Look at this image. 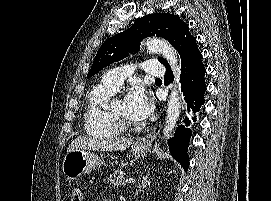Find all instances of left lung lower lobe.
Segmentation results:
<instances>
[{
  "instance_id": "0a47b994",
  "label": "left lung lower lobe",
  "mask_w": 271,
  "mask_h": 201,
  "mask_svg": "<svg viewBox=\"0 0 271 201\" xmlns=\"http://www.w3.org/2000/svg\"><path fill=\"white\" fill-rule=\"evenodd\" d=\"M178 52L182 64L181 88L187 103L188 113L193 114L198 112L201 105L204 104V93L206 90L204 74L206 70L202 63L201 53L197 48L195 38L180 47ZM165 67L167 69L165 80L171 81L173 74L168 63ZM192 119L196 121L195 118ZM184 123L186 126H189L190 120L186 118ZM190 137L191 129L181 125L175 132V138L169 140V151L171 155L182 165L185 171H187L189 165L187 149Z\"/></svg>"
}]
</instances>
